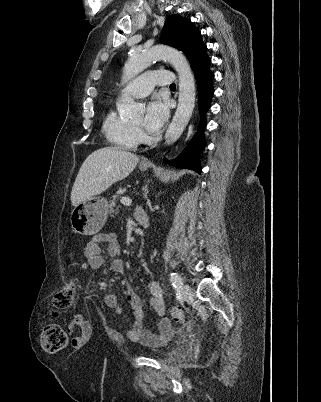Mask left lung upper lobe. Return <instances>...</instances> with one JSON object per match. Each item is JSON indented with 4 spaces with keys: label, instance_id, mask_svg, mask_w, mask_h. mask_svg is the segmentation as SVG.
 Listing matches in <instances>:
<instances>
[{
    "label": "left lung upper lobe",
    "instance_id": "obj_1",
    "mask_svg": "<svg viewBox=\"0 0 321 402\" xmlns=\"http://www.w3.org/2000/svg\"><path fill=\"white\" fill-rule=\"evenodd\" d=\"M160 42L182 51L190 59L194 50L203 43L201 33L188 19L179 15L168 16Z\"/></svg>",
    "mask_w": 321,
    "mask_h": 402
}]
</instances>
